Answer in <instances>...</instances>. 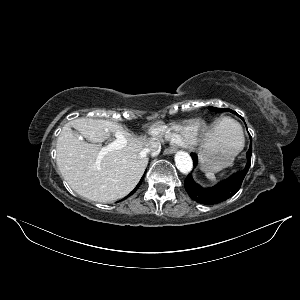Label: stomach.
I'll list each match as a JSON object with an SVG mask.
<instances>
[{
	"label": "stomach",
	"mask_w": 300,
	"mask_h": 300,
	"mask_svg": "<svg viewBox=\"0 0 300 300\" xmlns=\"http://www.w3.org/2000/svg\"><path fill=\"white\" fill-rule=\"evenodd\" d=\"M227 139L219 140L214 146H207L200 152V162L203 170L218 172L233 163L235 156L243 148V140L234 136L225 128Z\"/></svg>",
	"instance_id": "1"
}]
</instances>
